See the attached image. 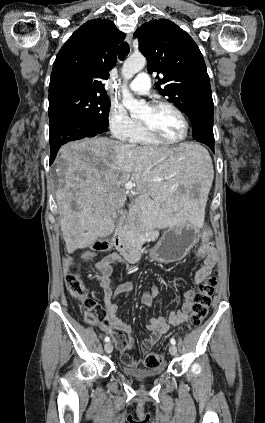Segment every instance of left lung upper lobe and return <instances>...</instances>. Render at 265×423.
<instances>
[{"mask_svg":"<svg viewBox=\"0 0 265 423\" xmlns=\"http://www.w3.org/2000/svg\"><path fill=\"white\" fill-rule=\"evenodd\" d=\"M149 73L158 72L156 89L192 121L194 110L212 98L206 65L197 44L170 20H152L136 30Z\"/></svg>","mask_w":265,"mask_h":423,"instance_id":"left-lung-upper-lobe-1","label":"left lung upper lobe"}]
</instances>
